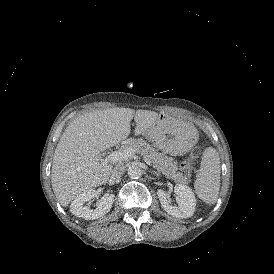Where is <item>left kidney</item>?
<instances>
[{
    "instance_id": "1",
    "label": "left kidney",
    "mask_w": 274,
    "mask_h": 274,
    "mask_svg": "<svg viewBox=\"0 0 274 274\" xmlns=\"http://www.w3.org/2000/svg\"><path fill=\"white\" fill-rule=\"evenodd\" d=\"M176 202L178 205H172L170 194L159 189L157 191L161 207L170 215L176 218H188L194 214L196 198L192 190L184 184H176L174 187Z\"/></svg>"
}]
</instances>
